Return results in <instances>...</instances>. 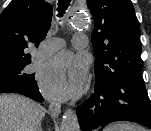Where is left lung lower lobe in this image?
<instances>
[{"instance_id":"obj_1","label":"left lung lower lobe","mask_w":151,"mask_h":131,"mask_svg":"<svg viewBox=\"0 0 151 131\" xmlns=\"http://www.w3.org/2000/svg\"><path fill=\"white\" fill-rule=\"evenodd\" d=\"M79 125L91 131L114 121H132L151 129V102L141 69L132 70L107 85L77 108Z\"/></svg>"}]
</instances>
